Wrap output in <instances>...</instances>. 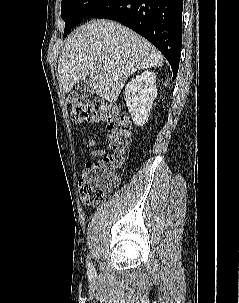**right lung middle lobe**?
Instances as JSON below:
<instances>
[{"label": "right lung middle lobe", "mask_w": 239, "mask_h": 303, "mask_svg": "<svg viewBox=\"0 0 239 303\" xmlns=\"http://www.w3.org/2000/svg\"><path fill=\"white\" fill-rule=\"evenodd\" d=\"M106 0H62L61 17L65 21L64 37L83 18L101 6Z\"/></svg>", "instance_id": "dd1d6c3e"}]
</instances>
